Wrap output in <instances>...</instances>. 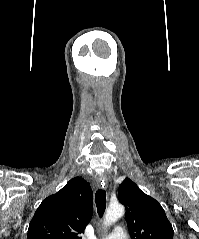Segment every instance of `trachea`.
<instances>
[{
	"label": "trachea",
	"instance_id": "1",
	"mask_svg": "<svg viewBox=\"0 0 199 239\" xmlns=\"http://www.w3.org/2000/svg\"><path fill=\"white\" fill-rule=\"evenodd\" d=\"M95 203L97 207V212L100 217H102L106 208V191L103 189H98L95 194Z\"/></svg>",
	"mask_w": 199,
	"mask_h": 239
}]
</instances>
